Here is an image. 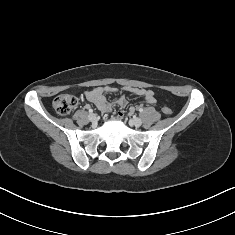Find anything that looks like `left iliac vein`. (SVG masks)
<instances>
[{"label":"left iliac vein","instance_id":"left-iliac-vein-1","mask_svg":"<svg viewBox=\"0 0 235 235\" xmlns=\"http://www.w3.org/2000/svg\"><path fill=\"white\" fill-rule=\"evenodd\" d=\"M131 122L136 126L139 127L142 125V120L138 117H134Z\"/></svg>","mask_w":235,"mask_h":235}]
</instances>
